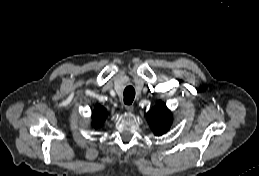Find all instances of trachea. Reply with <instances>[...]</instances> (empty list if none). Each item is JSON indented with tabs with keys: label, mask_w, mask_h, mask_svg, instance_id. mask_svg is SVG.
<instances>
[{
	"label": "trachea",
	"mask_w": 259,
	"mask_h": 176,
	"mask_svg": "<svg viewBox=\"0 0 259 176\" xmlns=\"http://www.w3.org/2000/svg\"><path fill=\"white\" fill-rule=\"evenodd\" d=\"M135 97V89L132 86H128L124 90V103L131 105Z\"/></svg>",
	"instance_id": "3493384b"
}]
</instances>
